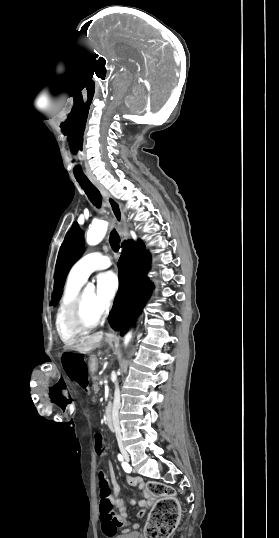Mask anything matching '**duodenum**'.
Here are the masks:
<instances>
[{
    "label": "duodenum",
    "mask_w": 279,
    "mask_h": 538,
    "mask_svg": "<svg viewBox=\"0 0 279 538\" xmlns=\"http://www.w3.org/2000/svg\"><path fill=\"white\" fill-rule=\"evenodd\" d=\"M91 372L93 374H96L98 372V366L96 364H93L91 366ZM105 408H106V410H105V418H106L105 422L107 423V427L109 429H112L114 427V424L112 423V419H111L112 418V410L111 409L113 408V405L111 403H107L105 405Z\"/></svg>",
    "instance_id": "obj_1"
}]
</instances>
